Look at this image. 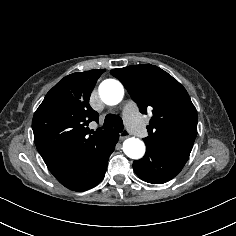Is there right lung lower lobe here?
Wrapping results in <instances>:
<instances>
[{
    "label": "right lung lower lobe",
    "mask_w": 236,
    "mask_h": 236,
    "mask_svg": "<svg viewBox=\"0 0 236 236\" xmlns=\"http://www.w3.org/2000/svg\"><path fill=\"white\" fill-rule=\"evenodd\" d=\"M119 134L111 132L96 145L48 166L65 187L85 191L96 186L105 176L108 158L115 149Z\"/></svg>",
    "instance_id": "1"
}]
</instances>
